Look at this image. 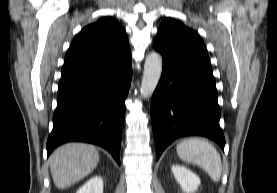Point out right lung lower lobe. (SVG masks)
<instances>
[{
    "label": "right lung lower lobe",
    "instance_id": "right-lung-lower-lobe-1",
    "mask_svg": "<svg viewBox=\"0 0 277 193\" xmlns=\"http://www.w3.org/2000/svg\"><path fill=\"white\" fill-rule=\"evenodd\" d=\"M132 78L131 54L100 70L61 78L48 155L59 145L80 141L108 150L120 164L125 99Z\"/></svg>",
    "mask_w": 277,
    "mask_h": 193
}]
</instances>
